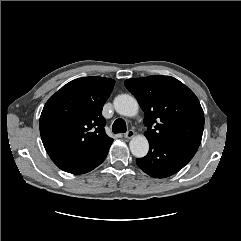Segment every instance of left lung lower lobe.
I'll list each match as a JSON object with an SVG mask.
<instances>
[{
    "label": "left lung lower lobe",
    "instance_id": "0a47b994",
    "mask_svg": "<svg viewBox=\"0 0 241 241\" xmlns=\"http://www.w3.org/2000/svg\"><path fill=\"white\" fill-rule=\"evenodd\" d=\"M147 139L150 144L149 152L144 158L136 159V163L154 178H165L177 173L193 158L198 149L194 144Z\"/></svg>",
    "mask_w": 241,
    "mask_h": 241
}]
</instances>
